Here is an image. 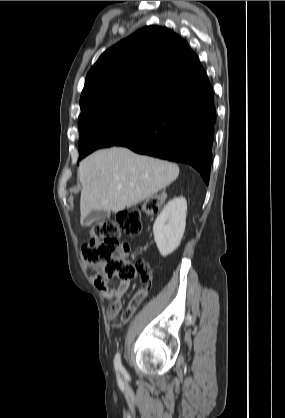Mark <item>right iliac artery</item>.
I'll return each mask as SVG.
<instances>
[{"label":"right iliac artery","instance_id":"82829eb1","mask_svg":"<svg viewBox=\"0 0 285 418\" xmlns=\"http://www.w3.org/2000/svg\"><path fill=\"white\" fill-rule=\"evenodd\" d=\"M114 366H115V369L117 371H121L122 373L125 372V369L123 368V366L121 364V358H120V354L119 353H117L116 356H115Z\"/></svg>","mask_w":285,"mask_h":418}]
</instances>
